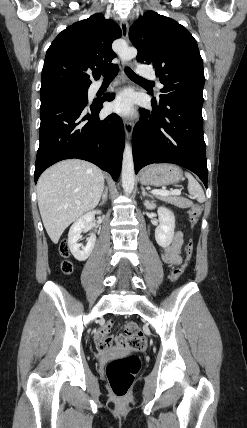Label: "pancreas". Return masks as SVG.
Segmentation results:
<instances>
[{
	"label": "pancreas",
	"instance_id": "obj_1",
	"mask_svg": "<svg viewBox=\"0 0 247 428\" xmlns=\"http://www.w3.org/2000/svg\"><path fill=\"white\" fill-rule=\"evenodd\" d=\"M158 199L173 204L179 208H188L192 205V202L188 199L185 198H181V197H176V196H161V195H157L156 196Z\"/></svg>",
	"mask_w": 247,
	"mask_h": 428
}]
</instances>
